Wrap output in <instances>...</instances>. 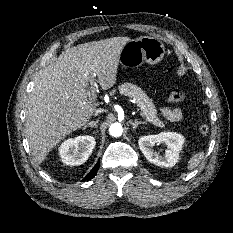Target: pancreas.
Returning <instances> with one entry per match:
<instances>
[{"mask_svg":"<svg viewBox=\"0 0 233 233\" xmlns=\"http://www.w3.org/2000/svg\"><path fill=\"white\" fill-rule=\"evenodd\" d=\"M118 89L120 94L133 98L136 101L137 106L141 110V115L146 121L161 128L165 126L163 121L157 117V111L153 101L149 99L147 94L142 91L140 87L126 82L118 86Z\"/></svg>","mask_w":233,"mask_h":233,"instance_id":"pancreas-1","label":"pancreas"}]
</instances>
